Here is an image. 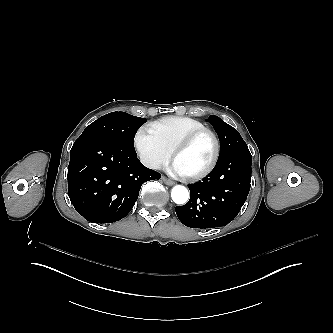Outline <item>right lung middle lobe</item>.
<instances>
[{
    "instance_id": "right-lung-middle-lobe-1",
    "label": "right lung middle lobe",
    "mask_w": 333,
    "mask_h": 333,
    "mask_svg": "<svg viewBox=\"0 0 333 333\" xmlns=\"http://www.w3.org/2000/svg\"><path fill=\"white\" fill-rule=\"evenodd\" d=\"M147 121L125 112H112L104 115L85 128L81 136L95 134L104 136L135 151L134 137L137 130Z\"/></svg>"
}]
</instances>
